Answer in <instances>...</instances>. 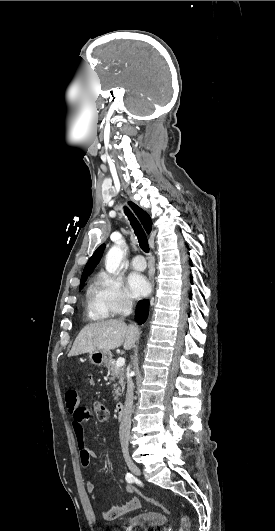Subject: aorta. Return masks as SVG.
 <instances>
[{"label": "aorta", "mask_w": 275, "mask_h": 531, "mask_svg": "<svg viewBox=\"0 0 275 531\" xmlns=\"http://www.w3.org/2000/svg\"><path fill=\"white\" fill-rule=\"evenodd\" d=\"M122 259L123 251H121L120 247H118V245L111 247L105 257V269L107 273H113L114 275L117 269H119Z\"/></svg>", "instance_id": "762f6f07"}]
</instances>
